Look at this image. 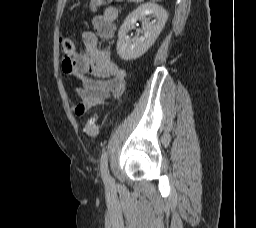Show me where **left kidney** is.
Instances as JSON below:
<instances>
[{"label": "left kidney", "instance_id": "5707ae66", "mask_svg": "<svg viewBox=\"0 0 256 228\" xmlns=\"http://www.w3.org/2000/svg\"><path fill=\"white\" fill-rule=\"evenodd\" d=\"M154 16L150 22L146 16ZM168 19L167 11L155 3H145L132 11L118 32L117 54L122 60H134L142 56L156 41ZM142 21L143 36L130 39L127 33L134 29L135 23Z\"/></svg>", "mask_w": 256, "mask_h": 228}]
</instances>
